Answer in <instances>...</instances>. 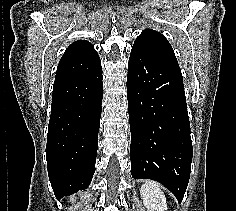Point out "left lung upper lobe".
Instances as JSON below:
<instances>
[{"mask_svg":"<svg viewBox=\"0 0 236 211\" xmlns=\"http://www.w3.org/2000/svg\"><path fill=\"white\" fill-rule=\"evenodd\" d=\"M132 50L178 65L174 51L167 39L161 33L151 29L142 31L135 40Z\"/></svg>","mask_w":236,"mask_h":211,"instance_id":"1","label":"left lung upper lobe"}]
</instances>
